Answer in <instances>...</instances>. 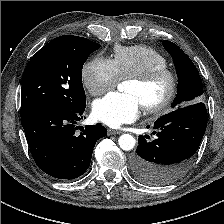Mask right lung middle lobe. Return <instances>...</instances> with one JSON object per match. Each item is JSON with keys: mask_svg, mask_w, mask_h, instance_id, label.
<instances>
[{"mask_svg": "<svg viewBox=\"0 0 224 224\" xmlns=\"http://www.w3.org/2000/svg\"><path fill=\"white\" fill-rule=\"evenodd\" d=\"M100 44L64 35L50 41L29 61L21 90V118L41 109H75L86 103L82 68Z\"/></svg>", "mask_w": 224, "mask_h": 224, "instance_id": "right-lung-middle-lobe-1", "label": "right lung middle lobe"}]
</instances>
